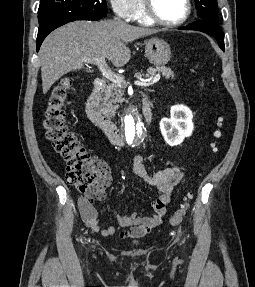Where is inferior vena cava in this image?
<instances>
[{"label":"inferior vena cava","mask_w":255,"mask_h":287,"mask_svg":"<svg viewBox=\"0 0 255 287\" xmlns=\"http://www.w3.org/2000/svg\"><path fill=\"white\" fill-rule=\"evenodd\" d=\"M114 22H117V24H123L122 20L120 18H114Z\"/></svg>","instance_id":"inferior-vena-cava-1"}]
</instances>
